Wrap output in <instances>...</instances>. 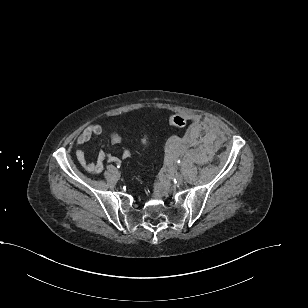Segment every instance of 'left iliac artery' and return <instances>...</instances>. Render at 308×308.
Segmentation results:
<instances>
[{"label": "left iliac artery", "mask_w": 308, "mask_h": 308, "mask_svg": "<svg viewBox=\"0 0 308 308\" xmlns=\"http://www.w3.org/2000/svg\"><path fill=\"white\" fill-rule=\"evenodd\" d=\"M177 162L180 164V162H181V161H180V160H178Z\"/></svg>", "instance_id": "44dca946"}]
</instances>
